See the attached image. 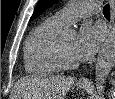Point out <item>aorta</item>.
<instances>
[{
	"label": "aorta",
	"mask_w": 115,
	"mask_h": 99,
	"mask_svg": "<svg viewBox=\"0 0 115 99\" xmlns=\"http://www.w3.org/2000/svg\"><path fill=\"white\" fill-rule=\"evenodd\" d=\"M112 9L115 13L113 6L114 0H111ZM115 65V25L112 27L97 59L95 67V85L97 97H100L104 92V84L106 79Z\"/></svg>",
	"instance_id": "aorta-1"
}]
</instances>
